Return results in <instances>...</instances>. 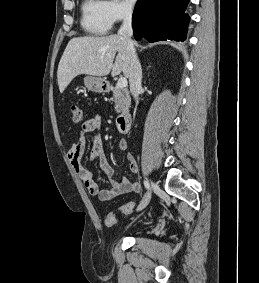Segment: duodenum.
I'll return each instance as SVG.
<instances>
[{"mask_svg": "<svg viewBox=\"0 0 259 283\" xmlns=\"http://www.w3.org/2000/svg\"><path fill=\"white\" fill-rule=\"evenodd\" d=\"M131 115L129 113H122L117 118V129L120 133H127L131 126Z\"/></svg>", "mask_w": 259, "mask_h": 283, "instance_id": "obj_1", "label": "duodenum"}]
</instances>
